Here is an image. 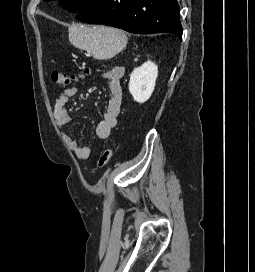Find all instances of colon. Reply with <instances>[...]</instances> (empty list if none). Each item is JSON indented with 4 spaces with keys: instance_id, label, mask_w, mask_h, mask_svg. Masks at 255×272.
<instances>
[{
    "instance_id": "obj_1",
    "label": "colon",
    "mask_w": 255,
    "mask_h": 272,
    "mask_svg": "<svg viewBox=\"0 0 255 272\" xmlns=\"http://www.w3.org/2000/svg\"><path fill=\"white\" fill-rule=\"evenodd\" d=\"M89 74H90V69L88 68L78 75H67L62 71L53 70L51 73V79L57 85L66 86V85H69L71 82H76L78 80L84 79ZM112 155H113V149L111 147L105 148L97 161L98 168L103 169L104 167H106L109 164L112 158Z\"/></svg>"
}]
</instances>
